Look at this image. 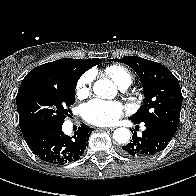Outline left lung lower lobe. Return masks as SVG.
Instances as JSON below:
<instances>
[{
	"label": "left lung lower lobe",
	"mask_w": 196,
	"mask_h": 196,
	"mask_svg": "<svg viewBox=\"0 0 196 196\" xmlns=\"http://www.w3.org/2000/svg\"><path fill=\"white\" fill-rule=\"evenodd\" d=\"M133 123L139 122L129 118ZM146 129L142 136L138 137L137 132L132 131V141L122 147V153L126 156L146 158L164 150L175 133L156 121H145Z\"/></svg>",
	"instance_id": "obj_1"
}]
</instances>
